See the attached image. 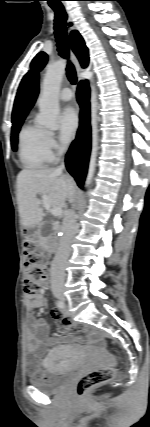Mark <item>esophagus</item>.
<instances>
[{
    "instance_id": "esophagus-1",
    "label": "esophagus",
    "mask_w": 150,
    "mask_h": 427,
    "mask_svg": "<svg viewBox=\"0 0 150 427\" xmlns=\"http://www.w3.org/2000/svg\"><path fill=\"white\" fill-rule=\"evenodd\" d=\"M70 21H71V18H70V17H68V22H70ZM72 29H73V27H71V26H69V27H68V31H69V32H70ZM70 55H71V58H72L73 64H74V66H75V68H76V71L79 73V72L81 71V67H80V64H79V61H78L77 57H76V56H75V54L72 52V50H70Z\"/></svg>"
}]
</instances>
